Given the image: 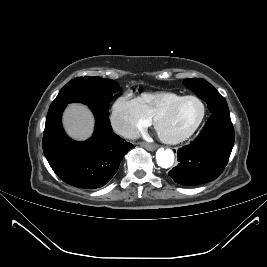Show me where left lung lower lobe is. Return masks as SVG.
Returning <instances> with one entry per match:
<instances>
[{
    "instance_id": "0a47b994",
    "label": "left lung lower lobe",
    "mask_w": 267,
    "mask_h": 267,
    "mask_svg": "<svg viewBox=\"0 0 267 267\" xmlns=\"http://www.w3.org/2000/svg\"><path fill=\"white\" fill-rule=\"evenodd\" d=\"M233 145L234 129L229 112L213 113L198 137L178 149L179 164L168 174L184 186L212 181L225 168Z\"/></svg>"
}]
</instances>
